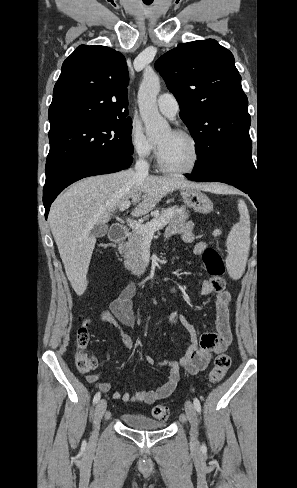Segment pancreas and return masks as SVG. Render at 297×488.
Wrapping results in <instances>:
<instances>
[{
    "label": "pancreas",
    "instance_id": "cf45deb5",
    "mask_svg": "<svg viewBox=\"0 0 297 488\" xmlns=\"http://www.w3.org/2000/svg\"><path fill=\"white\" fill-rule=\"evenodd\" d=\"M155 211L153 214H157ZM168 215V223L170 224H183L189 218L188 212L184 207H170L163 211V214ZM149 223V222H147ZM145 237L133 230L128 237V241L119 244L118 251L124 258L125 267L131 270L133 273H137L144 269V264L141 259L142 245Z\"/></svg>",
    "mask_w": 297,
    "mask_h": 488
}]
</instances>
